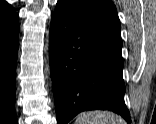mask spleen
Segmentation results:
<instances>
[{
    "instance_id": "3e777b00",
    "label": "spleen",
    "mask_w": 156,
    "mask_h": 124,
    "mask_svg": "<svg viewBox=\"0 0 156 124\" xmlns=\"http://www.w3.org/2000/svg\"><path fill=\"white\" fill-rule=\"evenodd\" d=\"M75 124H126L125 121L109 111H88L78 115Z\"/></svg>"
}]
</instances>
